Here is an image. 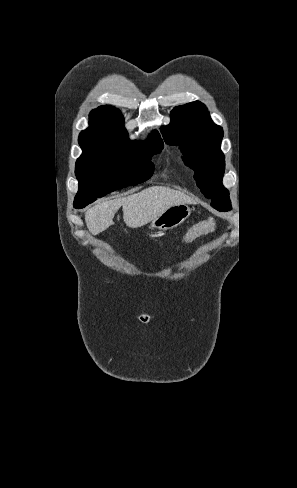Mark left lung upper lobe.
Listing matches in <instances>:
<instances>
[{"label":"left lung upper lobe","instance_id":"obj_1","mask_svg":"<svg viewBox=\"0 0 297 488\" xmlns=\"http://www.w3.org/2000/svg\"><path fill=\"white\" fill-rule=\"evenodd\" d=\"M164 140L180 145L186 165L195 171L201 192L219 211L231 210L229 192L222 185L225 162L220 150L223 130L214 124L205 105L199 101L175 107L171 123L162 128Z\"/></svg>","mask_w":297,"mask_h":488}]
</instances>
